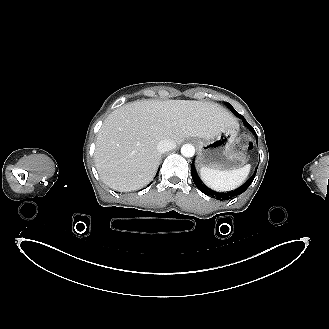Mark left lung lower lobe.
I'll return each instance as SVG.
<instances>
[{"instance_id":"1","label":"left lung lower lobe","mask_w":329,"mask_h":329,"mask_svg":"<svg viewBox=\"0 0 329 329\" xmlns=\"http://www.w3.org/2000/svg\"><path fill=\"white\" fill-rule=\"evenodd\" d=\"M243 123L245 124V126H247L252 132L253 134L256 136V139H257V134L255 132V130L253 129V127L245 120L244 117H241ZM256 171L257 169L255 170V173L252 175V177L245 183L243 184L241 187L237 188L236 190L234 191H230V192H226V193H218V192H215L211 189H209L207 186H205L201 180L199 179L197 173H196V170H195V167H194V163L192 162V165H191V174H192V179L195 183V185L197 186V188L204 194L210 196V197H213L215 199H219V200H222V201H226V200H229V199H232L238 195H241L243 192L246 191V189L251 185V183L253 182L254 178H255V175H256Z\"/></svg>"}]
</instances>
